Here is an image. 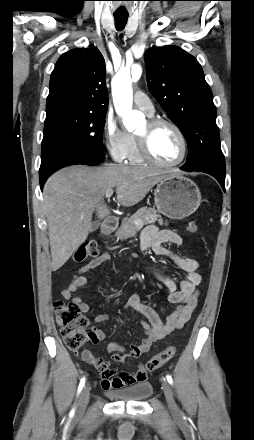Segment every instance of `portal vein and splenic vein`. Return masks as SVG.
<instances>
[{"label": "portal vein and splenic vein", "instance_id": "18ae733b", "mask_svg": "<svg viewBox=\"0 0 254 440\" xmlns=\"http://www.w3.org/2000/svg\"><path fill=\"white\" fill-rule=\"evenodd\" d=\"M113 193H114L113 190L107 191L106 194H105L106 198H110L113 195ZM135 225L142 226V223H141L140 220H138V221H135Z\"/></svg>", "mask_w": 254, "mask_h": 440}]
</instances>
